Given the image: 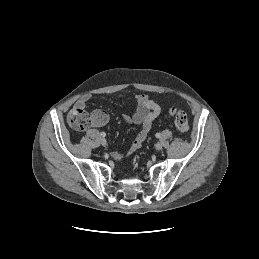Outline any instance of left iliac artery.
Segmentation results:
<instances>
[{"instance_id": "left-iliac-artery-1", "label": "left iliac artery", "mask_w": 259, "mask_h": 259, "mask_svg": "<svg viewBox=\"0 0 259 259\" xmlns=\"http://www.w3.org/2000/svg\"><path fill=\"white\" fill-rule=\"evenodd\" d=\"M157 138H160V133H157L156 135H155Z\"/></svg>"}]
</instances>
